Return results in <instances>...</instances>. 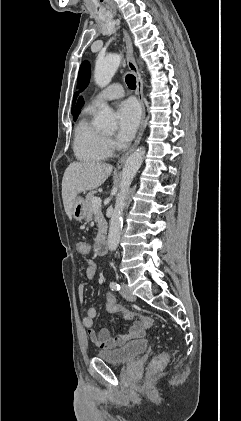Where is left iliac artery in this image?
Wrapping results in <instances>:
<instances>
[{
  "mask_svg": "<svg viewBox=\"0 0 241 421\" xmlns=\"http://www.w3.org/2000/svg\"><path fill=\"white\" fill-rule=\"evenodd\" d=\"M110 288L112 289V290H120V285L118 284V283H116V282H111L110 283Z\"/></svg>",
  "mask_w": 241,
  "mask_h": 421,
  "instance_id": "1",
  "label": "left iliac artery"
}]
</instances>
